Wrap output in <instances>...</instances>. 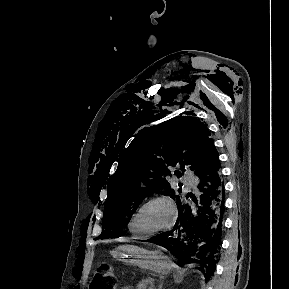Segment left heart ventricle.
I'll use <instances>...</instances> for the list:
<instances>
[{
	"instance_id": "1",
	"label": "left heart ventricle",
	"mask_w": 289,
	"mask_h": 289,
	"mask_svg": "<svg viewBox=\"0 0 289 289\" xmlns=\"http://www.w3.org/2000/svg\"><path fill=\"white\" fill-rule=\"evenodd\" d=\"M170 219L169 208L161 202H154L146 206L139 214L136 228L148 233L164 227Z\"/></svg>"
}]
</instances>
